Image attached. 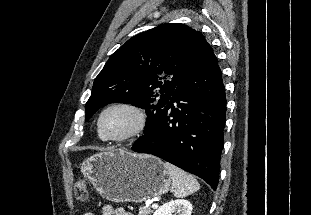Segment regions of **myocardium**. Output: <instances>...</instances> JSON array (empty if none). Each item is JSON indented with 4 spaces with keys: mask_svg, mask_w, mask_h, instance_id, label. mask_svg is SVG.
<instances>
[{
    "mask_svg": "<svg viewBox=\"0 0 311 215\" xmlns=\"http://www.w3.org/2000/svg\"><path fill=\"white\" fill-rule=\"evenodd\" d=\"M114 108H125L132 111L135 114L137 121L135 126L129 132L119 136H107L104 134L102 130V119L109 110ZM146 126H147L146 112L140 106L132 102L119 101L111 103L102 109L97 119V131L99 136L103 140L111 142H125L137 138L145 131Z\"/></svg>",
    "mask_w": 311,
    "mask_h": 215,
    "instance_id": "obj_1",
    "label": "myocardium"
}]
</instances>
